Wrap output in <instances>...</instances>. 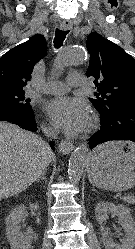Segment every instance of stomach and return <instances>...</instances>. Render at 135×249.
Returning <instances> with one entry per match:
<instances>
[{
  "label": "stomach",
  "instance_id": "1",
  "mask_svg": "<svg viewBox=\"0 0 135 249\" xmlns=\"http://www.w3.org/2000/svg\"><path fill=\"white\" fill-rule=\"evenodd\" d=\"M90 182L102 189L124 191L135 185V144L109 142L96 148L88 165Z\"/></svg>",
  "mask_w": 135,
  "mask_h": 249
}]
</instances>
